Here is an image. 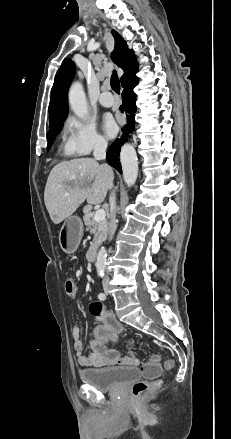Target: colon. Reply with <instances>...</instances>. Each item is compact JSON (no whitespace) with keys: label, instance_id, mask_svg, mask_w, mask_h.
I'll return each instance as SVG.
<instances>
[{"label":"colon","instance_id":"colon-1","mask_svg":"<svg viewBox=\"0 0 231 439\" xmlns=\"http://www.w3.org/2000/svg\"><path fill=\"white\" fill-rule=\"evenodd\" d=\"M65 292L66 294L74 298L77 295V284L73 279H67L65 282ZM91 314L97 319H102L105 317L106 312L103 311L102 305L98 302H94L90 305ZM174 367V360L167 359L164 362L165 370H172ZM141 371L144 380L136 382L131 389L133 398L139 399L145 396L148 392L154 390L159 386V381L157 380L161 374L162 366L160 360L156 356L149 358L141 367Z\"/></svg>","mask_w":231,"mask_h":439}]
</instances>
